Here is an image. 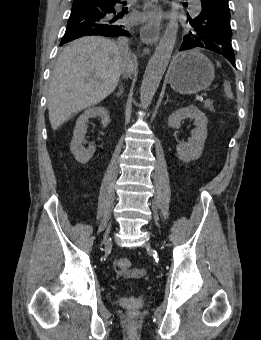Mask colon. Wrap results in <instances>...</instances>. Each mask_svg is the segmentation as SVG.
<instances>
[{
    "mask_svg": "<svg viewBox=\"0 0 261 340\" xmlns=\"http://www.w3.org/2000/svg\"><path fill=\"white\" fill-rule=\"evenodd\" d=\"M131 267V261L128 258H120L114 262V269L117 273H126Z\"/></svg>",
    "mask_w": 261,
    "mask_h": 340,
    "instance_id": "1",
    "label": "colon"
}]
</instances>
